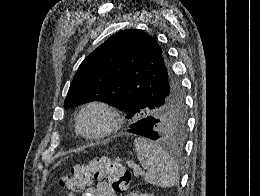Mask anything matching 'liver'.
Instances as JSON below:
<instances>
[{"mask_svg":"<svg viewBox=\"0 0 260 196\" xmlns=\"http://www.w3.org/2000/svg\"><path fill=\"white\" fill-rule=\"evenodd\" d=\"M56 166H59V162H58V164H55L54 168H56Z\"/></svg>","mask_w":260,"mask_h":196,"instance_id":"obj_1","label":"liver"}]
</instances>
